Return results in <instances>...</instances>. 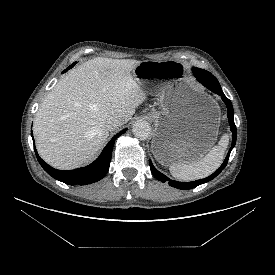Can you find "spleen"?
Here are the masks:
<instances>
[{"label": "spleen", "instance_id": "3e777b00", "mask_svg": "<svg viewBox=\"0 0 275 275\" xmlns=\"http://www.w3.org/2000/svg\"><path fill=\"white\" fill-rule=\"evenodd\" d=\"M228 142L229 137L225 134L221 137L218 146H214L200 160L187 164H171L169 167L171 175L181 181H193L209 176L221 165Z\"/></svg>", "mask_w": 275, "mask_h": 275}]
</instances>
